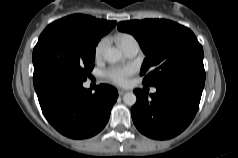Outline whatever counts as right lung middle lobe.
Returning <instances> with one entry per match:
<instances>
[{
  "label": "right lung middle lobe",
  "instance_id": "obj_1",
  "mask_svg": "<svg viewBox=\"0 0 238 158\" xmlns=\"http://www.w3.org/2000/svg\"><path fill=\"white\" fill-rule=\"evenodd\" d=\"M100 38L77 25L51 23L33 50L34 73L52 69L84 82L94 67Z\"/></svg>",
  "mask_w": 238,
  "mask_h": 158
}]
</instances>
